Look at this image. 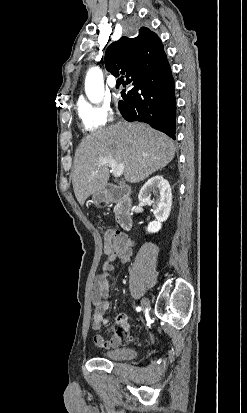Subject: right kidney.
<instances>
[{
    "label": "right kidney",
    "mask_w": 247,
    "mask_h": 413,
    "mask_svg": "<svg viewBox=\"0 0 247 413\" xmlns=\"http://www.w3.org/2000/svg\"><path fill=\"white\" fill-rule=\"evenodd\" d=\"M150 190H153L156 198H150L148 194ZM138 198L144 204H152V213H154L156 221L149 223L147 231L149 233H157V231H160L162 223L167 221L171 211L172 190L168 180L163 178L161 174L152 176L140 188Z\"/></svg>",
    "instance_id": "1"
}]
</instances>
